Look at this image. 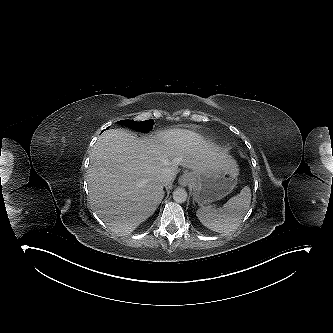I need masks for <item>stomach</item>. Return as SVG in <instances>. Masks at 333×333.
<instances>
[{
  "label": "stomach",
  "mask_w": 333,
  "mask_h": 333,
  "mask_svg": "<svg viewBox=\"0 0 333 333\" xmlns=\"http://www.w3.org/2000/svg\"><path fill=\"white\" fill-rule=\"evenodd\" d=\"M189 183L193 199L203 206L222 199L237 184L238 169L236 164L231 167H214L202 172H190Z\"/></svg>",
  "instance_id": "obj_1"
}]
</instances>
